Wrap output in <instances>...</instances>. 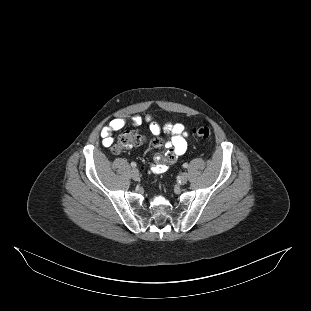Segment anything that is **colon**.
Wrapping results in <instances>:
<instances>
[{
	"label": "colon",
	"instance_id": "colon-1",
	"mask_svg": "<svg viewBox=\"0 0 311 311\" xmlns=\"http://www.w3.org/2000/svg\"><path fill=\"white\" fill-rule=\"evenodd\" d=\"M193 135L201 139H207L211 135V130L207 126H198L193 128ZM145 142V137L136 130H129L120 134L112 146V151L116 154L121 153L134 146L141 145Z\"/></svg>",
	"mask_w": 311,
	"mask_h": 311
}]
</instances>
